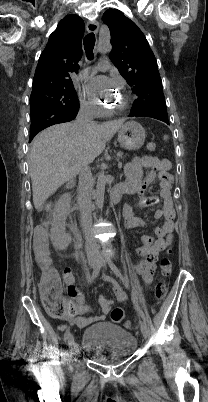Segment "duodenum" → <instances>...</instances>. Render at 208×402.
<instances>
[{"label": "duodenum", "mask_w": 208, "mask_h": 402, "mask_svg": "<svg viewBox=\"0 0 208 402\" xmlns=\"http://www.w3.org/2000/svg\"><path fill=\"white\" fill-rule=\"evenodd\" d=\"M124 193H127V188L124 185L114 187L111 192L112 202L117 203Z\"/></svg>", "instance_id": "obj_1"}]
</instances>
